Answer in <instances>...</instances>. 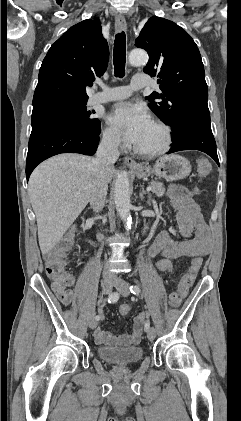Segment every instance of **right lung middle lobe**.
I'll use <instances>...</instances> for the list:
<instances>
[{"instance_id": "1", "label": "right lung middle lobe", "mask_w": 241, "mask_h": 421, "mask_svg": "<svg viewBox=\"0 0 241 421\" xmlns=\"http://www.w3.org/2000/svg\"><path fill=\"white\" fill-rule=\"evenodd\" d=\"M87 101H53L33 107L32 128L51 123L61 122L92 133L101 131L100 121L92 118L94 111H88Z\"/></svg>"}]
</instances>
